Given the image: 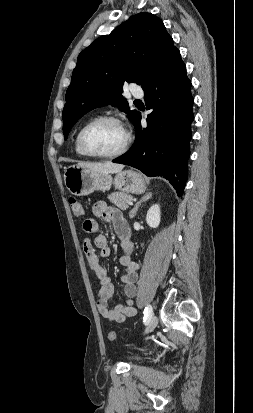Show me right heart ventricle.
Segmentation results:
<instances>
[{"label":"right heart ventricle","instance_id":"right-heart-ventricle-1","mask_svg":"<svg viewBox=\"0 0 253 413\" xmlns=\"http://www.w3.org/2000/svg\"><path fill=\"white\" fill-rule=\"evenodd\" d=\"M81 128H82V125L77 129V131L75 133L74 140H73V145H74L75 153L78 156L84 157L86 155L80 150L79 145H78V134H79V131L81 130Z\"/></svg>","mask_w":253,"mask_h":413}]
</instances>
